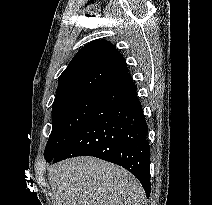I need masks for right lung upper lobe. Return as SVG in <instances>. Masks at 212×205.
<instances>
[{"instance_id":"1","label":"right lung upper lobe","mask_w":212,"mask_h":205,"mask_svg":"<svg viewBox=\"0 0 212 205\" xmlns=\"http://www.w3.org/2000/svg\"><path fill=\"white\" fill-rule=\"evenodd\" d=\"M127 73L116 47L106 40H94L79 50L59 77L52 107L81 96L102 94Z\"/></svg>"}]
</instances>
